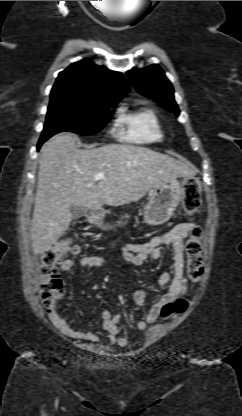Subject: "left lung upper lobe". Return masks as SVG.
Instances as JSON below:
<instances>
[{"mask_svg":"<svg viewBox=\"0 0 242 416\" xmlns=\"http://www.w3.org/2000/svg\"><path fill=\"white\" fill-rule=\"evenodd\" d=\"M127 76L140 94L158 101L163 108L179 115L172 84L158 65L143 69L134 68L127 72Z\"/></svg>","mask_w":242,"mask_h":416,"instance_id":"left-lung-upper-lobe-1","label":"left lung upper lobe"}]
</instances>
